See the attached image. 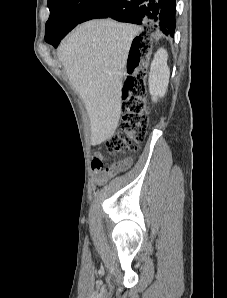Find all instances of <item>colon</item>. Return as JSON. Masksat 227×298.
<instances>
[{"mask_svg": "<svg viewBox=\"0 0 227 298\" xmlns=\"http://www.w3.org/2000/svg\"><path fill=\"white\" fill-rule=\"evenodd\" d=\"M151 42L148 34L133 41L129 56L128 75L122 86V114L119 129L107 140L112 153H131L144 140L149 122L146 102V71L140 68L142 57L149 54Z\"/></svg>", "mask_w": 227, "mask_h": 298, "instance_id": "5ec220e1", "label": "colon"}]
</instances>
